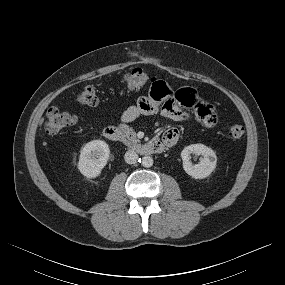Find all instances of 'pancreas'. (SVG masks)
Wrapping results in <instances>:
<instances>
[{
  "mask_svg": "<svg viewBox=\"0 0 285 285\" xmlns=\"http://www.w3.org/2000/svg\"><path fill=\"white\" fill-rule=\"evenodd\" d=\"M125 133H126V136H127V138H128V143H129L130 145L136 146V145H138V144L140 143V140L137 139L136 134H135L134 131L128 129V130H126Z\"/></svg>",
  "mask_w": 285,
  "mask_h": 285,
  "instance_id": "obj_1",
  "label": "pancreas"
}]
</instances>
